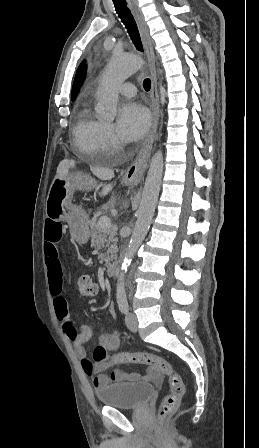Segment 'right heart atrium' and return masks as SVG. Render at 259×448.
<instances>
[{"label":"right heart atrium","mask_w":259,"mask_h":448,"mask_svg":"<svg viewBox=\"0 0 259 448\" xmlns=\"http://www.w3.org/2000/svg\"><path fill=\"white\" fill-rule=\"evenodd\" d=\"M100 147L104 154H111L121 147V141L109 124L104 123L100 133Z\"/></svg>","instance_id":"obj_1"}]
</instances>
